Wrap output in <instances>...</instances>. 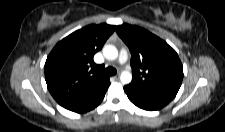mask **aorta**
I'll use <instances>...</instances> for the list:
<instances>
[{"mask_svg": "<svg viewBox=\"0 0 225 132\" xmlns=\"http://www.w3.org/2000/svg\"><path fill=\"white\" fill-rule=\"evenodd\" d=\"M103 55L108 60H115L118 57V50L114 45H105L103 47ZM120 80L123 84H129L132 80L131 73L123 71L120 75Z\"/></svg>", "mask_w": 225, "mask_h": 132, "instance_id": "obj_1", "label": "aorta"}]
</instances>
